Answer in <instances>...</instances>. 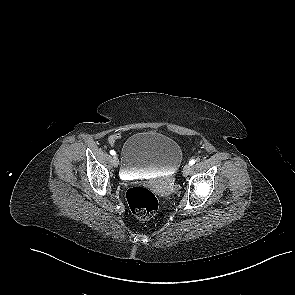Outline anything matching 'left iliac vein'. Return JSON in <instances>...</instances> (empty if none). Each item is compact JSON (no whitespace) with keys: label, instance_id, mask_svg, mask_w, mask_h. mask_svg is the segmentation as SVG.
<instances>
[{"label":"left iliac vein","instance_id":"1","mask_svg":"<svg viewBox=\"0 0 295 295\" xmlns=\"http://www.w3.org/2000/svg\"><path fill=\"white\" fill-rule=\"evenodd\" d=\"M190 171H191V165L188 164V165H185V166H184L182 172H183V175H184V176H187V175H189Z\"/></svg>","mask_w":295,"mask_h":295}]
</instances>
